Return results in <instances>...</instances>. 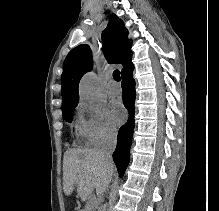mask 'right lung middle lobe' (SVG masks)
<instances>
[{
	"mask_svg": "<svg viewBox=\"0 0 219 211\" xmlns=\"http://www.w3.org/2000/svg\"><path fill=\"white\" fill-rule=\"evenodd\" d=\"M77 104L78 102L62 105L63 118L69 123L72 121L73 112Z\"/></svg>",
	"mask_w": 219,
	"mask_h": 211,
	"instance_id": "obj_1",
	"label": "right lung middle lobe"
}]
</instances>
